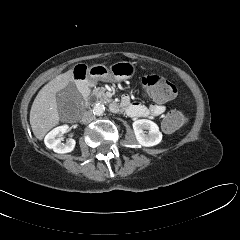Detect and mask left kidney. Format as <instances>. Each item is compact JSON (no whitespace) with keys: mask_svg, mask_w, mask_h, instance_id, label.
Instances as JSON below:
<instances>
[{"mask_svg":"<svg viewBox=\"0 0 240 240\" xmlns=\"http://www.w3.org/2000/svg\"><path fill=\"white\" fill-rule=\"evenodd\" d=\"M133 130L138 143L145 147L159 144L162 140V133L156 123L147 119H139L133 122ZM144 130H148V134Z\"/></svg>","mask_w":240,"mask_h":240,"instance_id":"5707ae66","label":"left kidney"}]
</instances>
